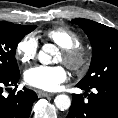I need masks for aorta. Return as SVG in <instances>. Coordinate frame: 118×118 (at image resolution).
I'll return each instance as SVG.
<instances>
[{"mask_svg": "<svg viewBox=\"0 0 118 118\" xmlns=\"http://www.w3.org/2000/svg\"><path fill=\"white\" fill-rule=\"evenodd\" d=\"M55 52L56 47L54 45L45 44L38 54V59L42 64L48 65L52 63V55L55 54ZM54 103L59 110L64 111L69 109L71 105V100L69 96L65 94H60L55 97Z\"/></svg>", "mask_w": 118, "mask_h": 118, "instance_id": "obj_1", "label": "aorta"}]
</instances>
